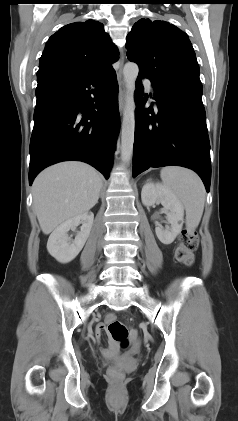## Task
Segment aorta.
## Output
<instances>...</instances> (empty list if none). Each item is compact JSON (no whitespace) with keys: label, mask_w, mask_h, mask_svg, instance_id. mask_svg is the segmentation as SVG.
I'll use <instances>...</instances> for the list:
<instances>
[{"label":"aorta","mask_w":238,"mask_h":421,"mask_svg":"<svg viewBox=\"0 0 238 421\" xmlns=\"http://www.w3.org/2000/svg\"><path fill=\"white\" fill-rule=\"evenodd\" d=\"M139 73L138 65L128 62L123 68L124 80L126 83V104L123 113L122 133H121V158L125 164L131 160L134 132H135V81Z\"/></svg>","instance_id":"obj_1"}]
</instances>
